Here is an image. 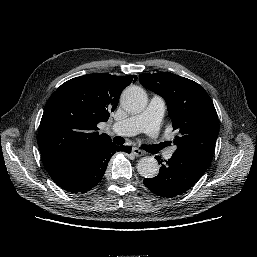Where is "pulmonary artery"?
<instances>
[{
	"mask_svg": "<svg viewBox=\"0 0 257 257\" xmlns=\"http://www.w3.org/2000/svg\"><path fill=\"white\" fill-rule=\"evenodd\" d=\"M166 109L165 101L161 96L151 97L148 106L141 112L113 123V130L120 135L130 136L139 132L155 135ZM166 147V146H163ZM175 148L164 150V157L170 159Z\"/></svg>",
	"mask_w": 257,
	"mask_h": 257,
	"instance_id": "obj_1",
	"label": "pulmonary artery"
}]
</instances>
